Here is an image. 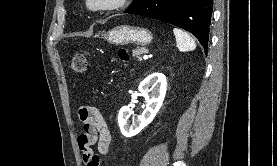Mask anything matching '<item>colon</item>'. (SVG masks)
Returning a JSON list of instances; mask_svg holds the SVG:
<instances>
[{"label":"colon","instance_id":"5ec220e1","mask_svg":"<svg viewBox=\"0 0 277 166\" xmlns=\"http://www.w3.org/2000/svg\"><path fill=\"white\" fill-rule=\"evenodd\" d=\"M119 57L126 61L129 58V54L125 49H121ZM88 54L86 52L77 53L71 61V69L76 73H85L88 70Z\"/></svg>","mask_w":277,"mask_h":166}]
</instances>
